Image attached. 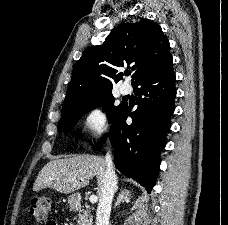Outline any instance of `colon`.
<instances>
[{
	"label": "colon",
	"instance_id": "obj_1",
	"mask_svg": "<svg viewBox=\"0 0 228 225\" xmlns=\"http://www.w3.org/2000/svg\"><path fill=\"white\" fill-rule=\"evenodd\" d=\"M30 214L42 225H56L53 220L48 217L50 215L51 203L47 198L34 197L29 200Z\"/></svg>",
	"mask_w": 228,
	"mask_h": 225
}]
</instances>
